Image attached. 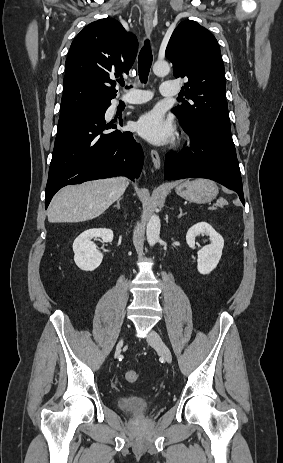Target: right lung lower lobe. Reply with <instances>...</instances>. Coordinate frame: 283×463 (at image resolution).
I'll return each instance as SVG.
<instances>
[{
	"instance_id": "obj_1",
	"label": "right lung lower lobe",
	"mask_w": 283,
	"mask_h": 463,
	"mask_svg": "<svg viewBox=\"0 0 283 463\" xmlns=\"http://www.w3.org/2000/svg\"><path fill=\"white\" fill-rule=\"evenodd\" d=\"M110 100L97 101L60 117L45 191L47 208L54 194L69 184L125 175L137 178L143 166V151L132 133L119 123H107L104 115Z\"/></svg>"
}]
</instances>
